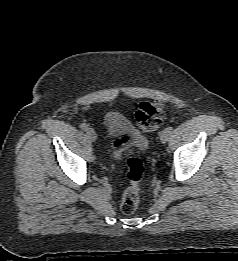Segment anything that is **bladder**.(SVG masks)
I'll list each match as a JSON object with an SVG mask.
<instances>
[{
  "instance_id": "31cf9c89",
  "label": "bladder",
  "mask_w": 238,
  "mask_h": 261,
  "mask_svg": "<svg viewBox=\"0 0 238 261\" xmlns=\"http://www.w3.org/2000/svg\"><path fill=\"white\" fill-rule=\"evenodd\" d=\"M104 126L114 146V159H121L129 151H144L149 146L147 137L118 112H108L104 117Z\"/></svg>"
}]
</instances>
